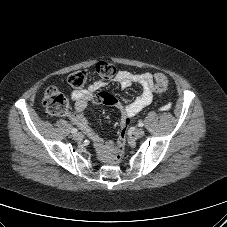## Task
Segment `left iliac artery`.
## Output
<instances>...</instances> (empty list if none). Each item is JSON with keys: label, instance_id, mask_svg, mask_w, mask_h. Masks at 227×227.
<instances>
[{"label": "left iliac artery", "instance_id": "left-iliac-artery-1", "mask_svg": "<svg viewBox=\"0 0 227 227\" xmlns=\"http://www.w3.org/2000/svg\"><path fill=\"white\" fill-rule=\"evenodd\" d=\"M138 126L139 127H143L144 126V123L142 121H139Z\"/></svg>", "mask_w": 227, "mask_h": 227}]
</instances>
